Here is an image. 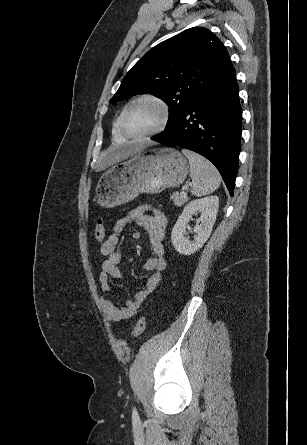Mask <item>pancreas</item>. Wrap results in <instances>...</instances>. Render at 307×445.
I'll return each mask as SVG.
<instances>
[{
    "label": "pancreas",
    "mask_w": 307,
    "mask_h": 445,
    "mask_svg": "<svg viewBox=\"0 0 307 445\" xmlns=\"http://www.w3.org/2000/svg\"><path fill=\"white\" fill-rule=\"evenodd\" d=\"M170 198L173 200L176 206H182V204H185V202L189 200L187 194H180V192H172V194H170Z\"/></svg>",
    "instance_id": "pancreas-1"
}]
</instances>
